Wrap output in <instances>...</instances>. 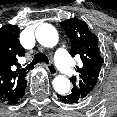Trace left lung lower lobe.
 Wrapping results in <instances>:
<instances>
[{
    "label": "left lung lower lobe",
    "mask_w": 117,
    "mask_h": 117,
    "mask_svg": "<svg viewBox=\"0 0 117 117\" xmlns=\"http://www.w3.org/2000/svg\"><path fill=\"white\" fill-rule=\"evenodd\" d=\"M58 98L67 104H74V103H79L81 99L74 93L67 94V95H57Z\"/></svg>",
    "instance_id": "obj_1"
}]
</instances>
